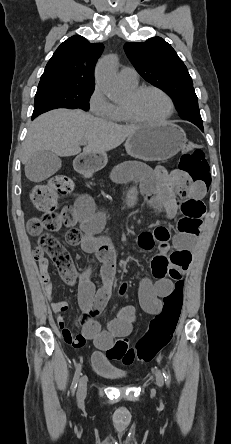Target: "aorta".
<instances>
[{
	"label": "aorta",
	"instance_id": "aorta-1",
	"mask_svg": "<svg viewBox=\"0 0 231 444\" xmlns=\"http://www.w3.org/2000/svg\"><path fill=\"white\" fill-rule=\"evenodd\" d=\"M117 64V56L109 55L101 59L96 67V82L111 100H117L122 94L116 73Z\"/></svg>",
	"mask_w": 231,
	"mask_h": 444
}]
</instances>
